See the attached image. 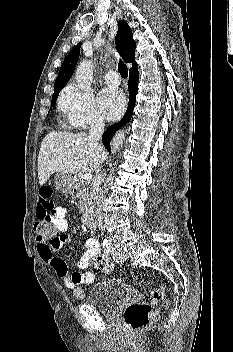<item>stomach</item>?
<instances>
[{
  "label": "stomach",
  "mask_w": 233,
  "mask_h": 352,
  "mask_svg": "<svg viewBox=\"0 0 233 352\" xmlns=\"http://www.w3.org/2000/svg\"><path fill=\"white\" fill-rule=\"evenodd\" d=\"M56 186L64 193H73V177L69 174L58 173L56 176Z\"/></svg>",
  "instance_id": "1"
}]
</instances>
